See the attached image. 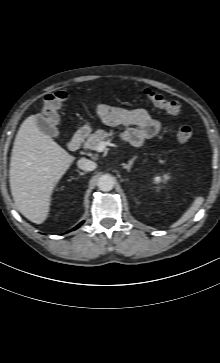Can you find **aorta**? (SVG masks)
Here are the masks:
<instances>
[{
    "instance_id": "aorta-1",
    "label": "aorta",
    "mask_w": 220,
    "mask_h": 363,
    "mask_svg": "<svg viewBox=\"0 0 220 363\" xmlns=\"http://www.w3.org/2000/svg\"><path fill=\"white\" fill-rule=\"evenodd\" d=\"M115 180L109 174L102 175L97 182L98 188L103 192H108L113 189Z\"/></svg>"
}]
</instances>
